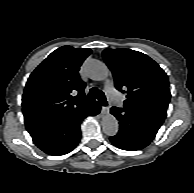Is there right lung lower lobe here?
<instances>
[{"label": "right lung lower lobe", "instance_id": "right-lung-lower-lobe-1", "mask_svg": "<svg viewBox=\"0 0 194 193\" xmlns=\"http://www.w3.org/2000/svg\"><path fill=\"white\" fill-rule=\"evenodd\" d=\"M100 112V105L93 101L86 107L53 122L28 128L35 145L50 155H64L72 151L80 141V123L87 116Z\"/></svg>", "mask_w": 194, "mask_h": 193}]
</instances>
